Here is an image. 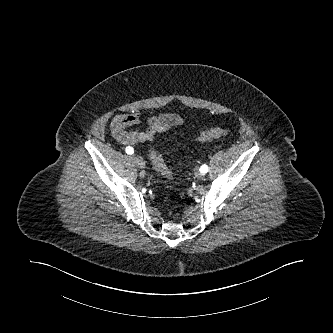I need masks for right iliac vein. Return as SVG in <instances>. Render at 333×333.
I'll return each instance as SVG.
<instances>
[{"mask_svg": "<svg viewBox=\"0 0 333 333\" xmlns=\"http://www.w3.org/2000/svg\"><path fill=\"white\" fill-rule=\"evenodd\" d=\"M132 158L134 159L136 165L139 168H141V169L145 168V161L143 160V158L136 156V155H133Z\"/></svg>", "mask_w": 333, "mask_h": 333, "instance_id": "right-iliac-vein-1", "label": "right iliac vein"}]
</instances>
